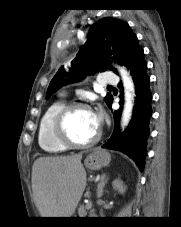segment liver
Here are the masks:
<instances>
[{"instance_id": "liver-1", "label": "liver", "mask_w": 181, "mask_h": 227, "mask_svg": "<svg viewBox=\"0 0 181 227\" xmlns=\"http://www.w3.org/2000/svg\"><path fill=\"white\" fill-rule=\"evenodd\" d=\"M82 154L41 157L32 167V190L42 217H71L86 186Z\"/></svg>"}]
</instances>
